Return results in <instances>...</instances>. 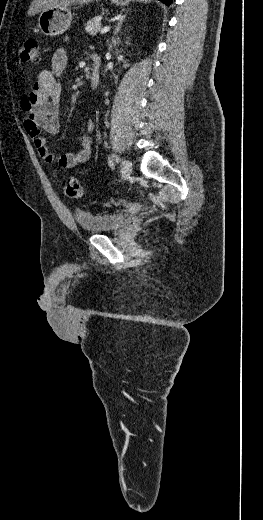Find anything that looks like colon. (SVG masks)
Masks as SVG:
<instances>
[{
    "instance_id": "colon-1",
    "label": "colon",
    "mask_w": 263,
    "mask_h": 520,
    "mask_svg": "<svg viewBox=\"0 0 263 520\" xmlns=\"http://www.w3.org/2000/svg\"><path fill=\"white\" fill-rule=\"evenodd\" d=\"M23 61L36 63L39 60V45L34 38L27 39L21 53ZM64 191L69 198H79L82 195V188L77 178L73 176L66 177L63 181Z\"/></svg>"
}]
</instances>
